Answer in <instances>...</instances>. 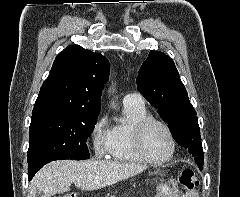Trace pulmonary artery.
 <instances>
[{
	"label": "pulmonary artery",
	"mask_w": 240,
	"mask_h": 197,
	"mask_svg": "<svg viewBox=\"0 0 240 197\" xmlns=\"http://www.w3.org/2000/svg\"><path fill=\"white\" fill-rule=\"evenodd\" d=\"M123 105L144 106V99L138 93H128L123 97Z\"/></svg>",
	"instance_id": "1"
}]
</instances>
